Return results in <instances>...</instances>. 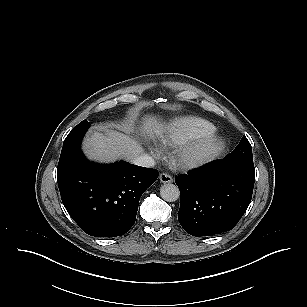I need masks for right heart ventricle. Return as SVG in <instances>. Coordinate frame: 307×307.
<instances>
[{"label": "right heart ventricle", "mask_w": 307, "mask_h": 307, "mask_svg": "<svg viewBox=\"0 0 307 307\" xmlns=\"http://www.w3.org/2000/svg\"><path fill=\"white\" fill-rule=\"evenodd\" d=\"M216 127L201 118L180 116L170 120L154 135L155 141L164 147H173L196 138L215 133Z\"/></svg>", "instance_id": "obj_1"}]
</instances>
